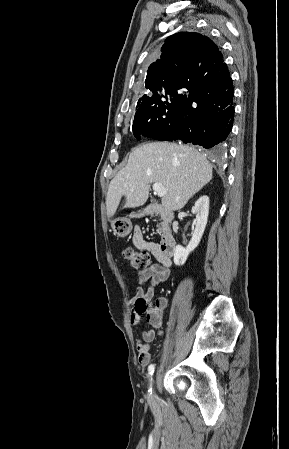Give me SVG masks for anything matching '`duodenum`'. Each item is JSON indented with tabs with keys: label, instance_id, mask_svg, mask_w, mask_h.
<instances>
[{
	"label": "duodenum",
	"instance_id": "obj_1",
	"mask_svg": "<svg viewBox=\"0 0 289 449\" xmlns=\"http://www.w3.org/2000/svg\"><path fill=\"white\" fill-rule=\"evenodd\" d=\"M146 213L148 215H158L162 219L165 230L159 243V248L165 256L171 257L176 247V240L170 229V224L174 219V213L170 209L158 205L148 207Z\"/></svg>",
	"mask_w": 289,
	"mask_h": 449
}]
</instances>
